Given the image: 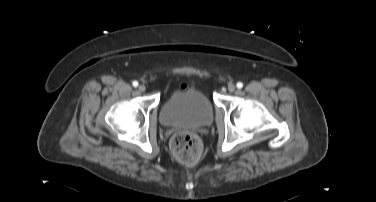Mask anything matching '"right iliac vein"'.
<instances>
[{"instance_id": "63e3f726", "label": "right iliac vein", "mask_w": 376, "mask_h": 202, "mask_svg": "<svg viewBox=\"0 0 376 202\" xmlns=\"http://www.w3.org/2000/svg\"><path fill=\"white\" fill-rule=\"evenodd\" d=\"M138 90L140 91V92H144L145 90H146V87L144 86V85H139V87H138Z\"/></svg>"}]
</instances>
